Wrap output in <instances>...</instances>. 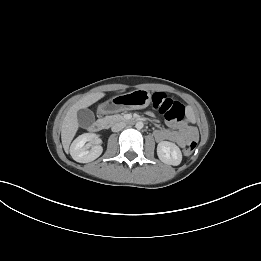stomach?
Returning a JSON list of instances; mask_svg holds the SVG:
<instances>
[{"mask_svg": "<svg viewBox=\"0 0 261 261\" xmlns=\"http://www.w3.org/2000/svg\"><path fill=\"white\" fill-rule=\"evenodd\" d=\"M151 101V94L144 89L117 95L102 103L98 110L101 114H113L124 110L146 108Z\"/></svg>", "mask_w": 261, "mask_h": 261, "instance_id": "1", "label": "stomach"}]
</instances>
